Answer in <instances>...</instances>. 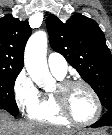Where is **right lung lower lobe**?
Segmentation results:
<instances>
[{
  "label": "right lung lower lobe",
  "mask_w": 112,
  "mask_h": 135,
  "mask_svg": "<svg viewBox=\"0 0 112 135\" xmlns=\"http://www.w3.org/2000/svg\"><path fill=\"white\" fill-rule=\"evenodd\" d=\"M11 115H13V116H17L18 114H12V113H10Z\"/></svg>",
  "instance_id": "1"
}]
</instances>
